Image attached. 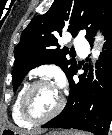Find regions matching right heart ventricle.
<instances>
[{"instance_id":"e07e8e85","label":"right heart ventricle","mask_w":112,"mask_h":135,"mask_svg":"<svg viewBox=\"0 0 112 135\" xmlns=\"http://www.w3.org/2000/svg\"><path fill=\"white\" fill-rule=\"evenodd\" d=\"M28 85H29L28 83H25L21 87V89L18 91V93L13 101L12 107H11V117H12L13 122L17 126L22 127V128L31 127L33 124V123L27 121L26 119H24V117L21 115V111H20V100H21L24 90L26 89V87Z\"/></svg>"}]
</instances>
